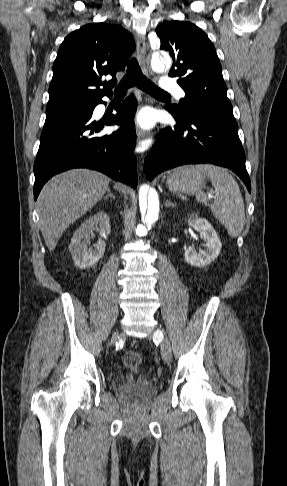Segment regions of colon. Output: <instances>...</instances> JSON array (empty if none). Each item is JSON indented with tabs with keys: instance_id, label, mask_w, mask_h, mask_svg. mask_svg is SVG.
I'll list each match as a JSON object with an SVG mask.
<instances>
[{
	"instance_id": "colon-1",
	"label": "colon",
	"mask_w": 287,
	"mask_h": 486,
	"mask_svg": "<svg viewBox=\"0 0 287 486\" xmlns=\"http://www.w3.org/2000/svg\"><path fill=\"white\" fill-rule=\"evenodd\" d=\"M141 361V356L137 352L129 351L123 355V364L130 369H136L139 367Z\"/></svg>"
}]
</instances>
